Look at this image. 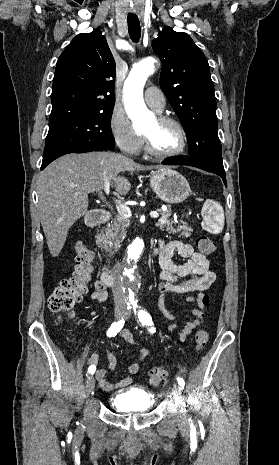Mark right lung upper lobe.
Here are the masks:
<instances>
[{
	"instance_id": "right-lung-upper-lobe-1",
	"label": "right lung upper lobe",
	"mask_w": 279,
	"mask_h": 465,
	"mask_svg": "<svg viewBox=\"0 0 279 465\" xmlns=\"http://www.w3.org/2000/svg\"><path fill=\"white\" fill-rule=\"evenodd\" d=\"M115 74V61L101 31L77 35L57 61L50 124L113 108Z\"/></svg>"
}]
</instances>
